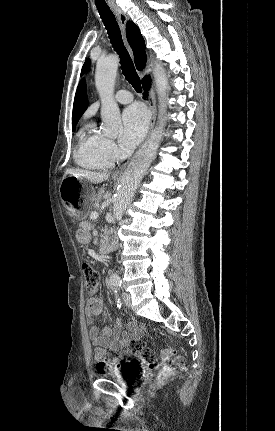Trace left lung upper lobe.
Here are the masks:
<instances>
[{"label":"left lung upper lobe","mask_w":275,"mask_h":431,"mask_svg":"<svg viewBox=\"0 0 275 431\" xmlns=\"http://www.w3.org/2000/svg\"><path fill=\"white\" fill-rule=\"evenodd\" d=\"M89 64H90V60L88 59V60H86L85 64L83 65L82 72H81L82 74L88 68Z\"/></svg>","instance_id":"5c2ea615"}]
</instances>
